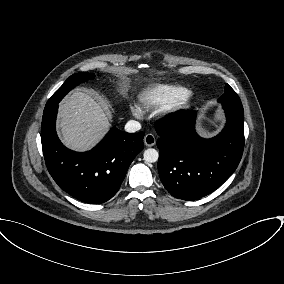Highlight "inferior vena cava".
<instances>
[{
	"label": "inferior vena cava",
	"instance_id": "inferior-vena-cava-1",
	"mask_svg": "<svg viewBox=\"0 0 284 284\" xmlns=\"http://www.w3.org/2000/svg\"><path fill=\"white\" fill-rule=\"evenodd\" d=\"M141 129V124L138 121L130 120L125 125V130L128 133H135Z\"/></svg>",
	"mask_w": 284,
	"mask_h": 284
}]
</instances>
